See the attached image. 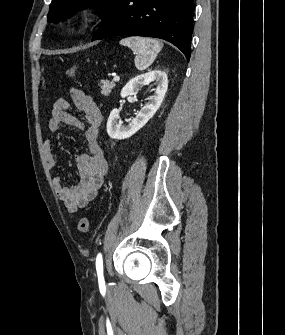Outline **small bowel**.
I'll list each match as a JSON object with an SVG mask.
<instances>
[{"label": "small bowel", "mask_w": 285, "mask_h": 335, "mask_svg": "<svg viewBox=\"0 0 285 335\" xmlns=\"http://www.w3.org/2000/svg\"><path fill=\"white\" fill-rule=\"evenodd\" d=\"M70 95L74 106L83 113V118L72 114L70 103L67 99L60 97L52 105L48 129L55 133L61 126L69 125L84 132L88 153L75 156L79 173L78 182L72 186H66L61 176L53 178V186L58 198L70 213H74L86 207L96 197L107 174L108 162L98 140L102 123L99 107L90 95L80 89L72 88ZM44 152L48 166L54 168L57 161L51 140L44 142Z\"/></svg>", "instance_id": "small-bowel-1"}]
</instances>
